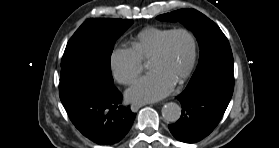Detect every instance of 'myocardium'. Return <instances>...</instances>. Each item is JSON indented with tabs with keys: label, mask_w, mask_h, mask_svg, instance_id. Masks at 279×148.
I'll list each match as a JSON object with an SVG mask.
<instances>
[{
	"label": "myocardium",
	"mask_w": 279,
	"mask_h": 148,
	"mask_svg": "<svg viewBox=\"0 0 279 148\" xmlns=\"http://www.w3.org/2000/svg\"><path fill=\"white\" fill-rule=\"evenodd\" d=\"M181 33L187 34L191 38L192 43H193V55H192L190 65H189L186 73L176 82L179 85L183 84L192 75V73L195 69L196 63H197L198 42H197L196 37L194 36V34L192 32H190L186 29H176V30L170 31L162 39V41L160 42L157 50L155 51L154 55L152 56V58L149 61V64H150V63H153V62L158 61L159 59H161L164 56L168 40L171 37H173L177 34H181Z\"/></svg>",
	"instance_id": "f54148a6"
}]
</instances>
